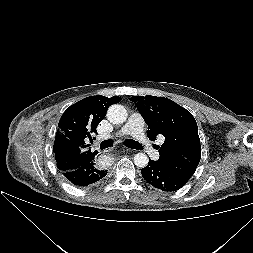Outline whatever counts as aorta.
I'll return each mask as SVG.
<instances>
[{
  "mask_svg": "<svg viewBox=\"0 0 253 253\" xmlns=\"http://www.w3.org/2000/svg\"><path fill=\"white\" fill-rule=\"evenodd\" d=\"M127 110L120 104L111 105L107 111V119L113 124H122L127 120ZM148 157L144 153H137L134 156V164L144 168L148 164Z\"/></svg>",
  "mask_w": 253,
  "mask_h": 253,
  "instance_id": "762f6f07",
  "label": "aorta"
}]
</instances>
